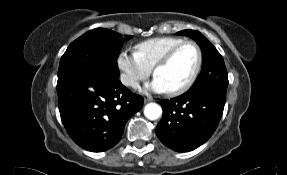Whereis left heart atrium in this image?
<instances>
[{"instance_id":"1","label":"left heart atrium","mask_w":287,"mask_h":175,"mask_svg":"<svg viewBox=\"0 0 287 175\" xmlns=\"http://www.w3.org/2000/svg\"><path fill=\"white\" fill-rule=\"evenodd\" d=\"M147 88L156 93L168 92V88L161 78L155 76L154 79L147 85Z\"/></svg>"}]
</instances>
